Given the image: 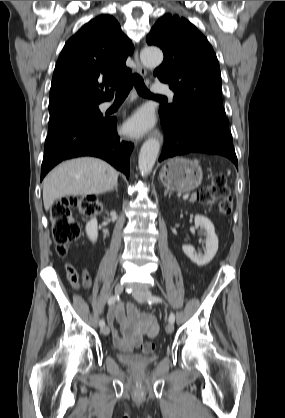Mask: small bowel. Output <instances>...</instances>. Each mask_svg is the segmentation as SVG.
I'll return each mask as SVG.
<instances>
[{
  "instance_id": "small-bowel-1",
  "label": "small bowel",
  "mask_w": 285,
  "mask_h": 418,
  "mask_svg": "<svg viewBox=\"0 0 285 418\" xmlns=\"http://www.w3.org/2000/svg\"><path fill=\"white\" fill-rule=\"evenodd\" d=\"M67 279L76 286L80 281L88 286L90 276L87 272L80 274L74 265L67 267ZM109 320H117L121 325L125 337H121L112 329V339L119 350L128 351L141 346L142 337H155L159 332V321L152 315L140 312L134 304L126 306V314L122 306L117 305L109 311Z\"/></svg>"
}]
</instances>
